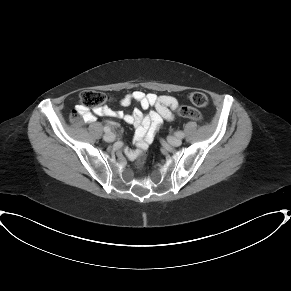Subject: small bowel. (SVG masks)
Instances as JSON below:
<instances>
[{"label":"small bowel","mask_w":291,"mask_h":291,"mask_svg":"<svg viewBox=\"0 0 291 291\" xmlns=\"http://www.w3.org/2000/svg\"><path fill=\"white\" fill-rule=\"evenodd\" d=\"M137 102L143 110L150 109L147 114H143L140 109H135L131 113L123 111H115L107 106L94 109L93 112L83 109L81 105H76V112L88 122H94L95 115L119 118L136 128V144L138 149H125V155L131 159L137 157L139 150H144L153 140L156 132L159 130L163 119H169L173 115V111L179 106L177 98L168 95L157 96L153 93L145 94L140 90H136L125 95L120 104L122 106L130 105ZM114 127H118L116 123L110 122Z\"/></svg>","instance_id":"c3829d8e"}]
</instances>
